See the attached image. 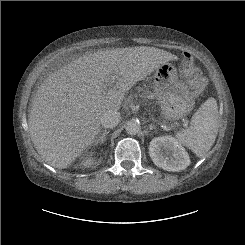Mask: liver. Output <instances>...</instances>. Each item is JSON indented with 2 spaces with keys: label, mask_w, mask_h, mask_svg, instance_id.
I'll use <instances>...</instances> for the list:
<instances>
[{
  "label": "liver",
  "mask_w": 245,
  "mask_h": 245,
  "mask_svg": "<svg viewBox=\"0 0 245 245\" xmlns=\"http://www.w3.org/2000/svg\"><path fill=\"white\" fill-rule=\"evenodd\" d=\"M177 59L154 47L113 48L81 56L49 75L28 119L38 154L53 167L67 168L95 142L105 111L119 110L137 82Z\"/></svg>",
  "instance_id": "1"
}]
</instances>
